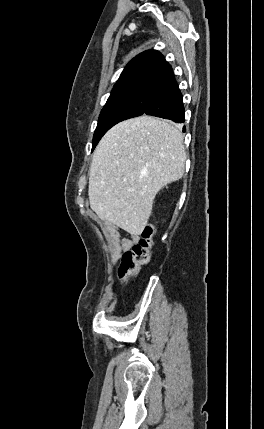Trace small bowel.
<instances>
[{"mask_svg":"<svg viewBox=\"0 0 264 429\" xmlns=\"http://www.w3.org/2000/svg\"><path fill=\"white\" fill-rule=\"evenodd\" d=\"M139 240L136 233L126 232L123 236L116 227H110L107 230V241L112 252V258L116 259L123 252L130 250Z\"/></svg>","mask_w":264,"mask_h":429,"instance_id":"obj_1","label":"small bowel"}]
</instances>
